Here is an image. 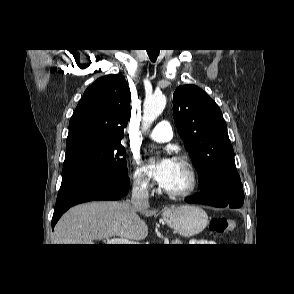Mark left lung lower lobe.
I'll list each match as a JSON object with an SVG mask.
<instances>
[{
  "mask_svg": "<svg viewBox=\"0 0 294 294\" xmlns=\"http://www.w3.org/2000/svg\"><path fill=\"white\" fill-rule=\"evenodd\" d=\"M188 203H202L215 207L240 208L244 202V192L242 184L225 185L209 194H197L186 199Z\"/></svg>",
  "mask_w": 294,
  "mask_h": 294,
  "instance_id": "0a47b994",
  "label": "left lung lower lobe"
}]
</instances>
